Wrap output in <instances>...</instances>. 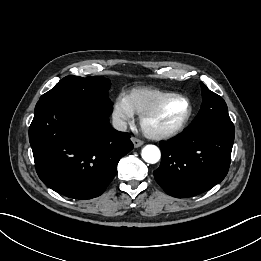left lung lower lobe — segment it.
<instances>
[{
  "label": "left lung lower lobe",
  "instance_id": "0a47b994",
  "mask_svg": "<svg viewBox=\"0 0 261 261\" xmlns=\"http://www.w3.org/2000/svg\"><path fill=\"white\" fill-rule=\"evenodd\" d=\"M233 123L186 128L161 142L162 159L156 182L176 198L192 197L221 182L229 169L234 141Z\"/></svg>",
  "mask_w": 261,
  "mask_h": 261
}]
</instances>
